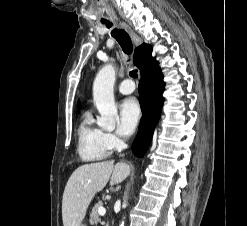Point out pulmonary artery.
<instances>
[{
	"label": "pulmonary artery",
	"mask_w": 247,
	"mask_h": 226,
	"mask_svg": "<svg viewBox=\"0 0 247 226\" xmlns=\"http://www.w3.org/2000/svg\"><path fill=\"white\" fill-rule=\"evenodd\" d=\"M118 90L123 95L131 94L135 90V84L132 80L125 79L119 85Z\"/></svg>",
	"instance_id": "pulmonary-artery-1"
}]
</instances>
